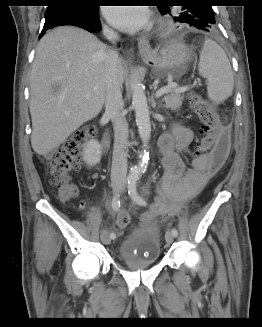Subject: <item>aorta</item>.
<instances>
[{"label": "aorta", "instance_id": "762f6f07", "mask_svg": "<svg viewBox=\"0 0 262 327\" xmlns=\"http://www.w3.org/2000/svg\"><path fill=\"white\" fill-rule=\"evenodd\" d=\"M131 88L132 105L135 111L138 132L144 146L146 147L151 135L150 113L147 98L142 89V84L136 78H133ZM146 163L147 158L144 156L143 159L139 161L138 165L130 170L129 177L133 179L138 178L145 169Z\"/></svg>", "mask_w": 262, "mask_h": 327}]
</instances>
